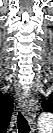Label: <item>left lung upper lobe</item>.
<instances>
[{
	"instance_id": "5c2ea615",
	"label": "left lung upper lobe",
	"mask_w": 53,
	"mask_h": 133,
	"mask_svg": "<svg viewBox=\"0 0 53 133\" xmlns=\"http://www.w3.org/2000/svg\"><path fill=\"white\" fill-rule=\"evenodd\" d=\"M44 111L53 112V101L51 98L42 102Z\"/></svg>"
}]
</instances>
